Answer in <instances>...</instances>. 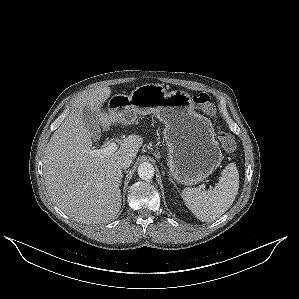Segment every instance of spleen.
Listing matches in <instances>:
<instances>
[{
    "label": "spleen",
    "mask_w": 299,
    "mask_h": 299,
    "mask_svg": "<svg viewBox=\"0 0 299 299\" xmlns=\"http://www.w3.org/2000/svg\"><path fill=\"white\" fill-rule=\"evenodd\" d=\"M239 173L235 163H230L221 173L218 184L211 190L185 188L181 196L186 206L200 221H214L232 205L238 194Z\"/></svg>",
    "instance_id": "3e777b00"
}]
</instances>
